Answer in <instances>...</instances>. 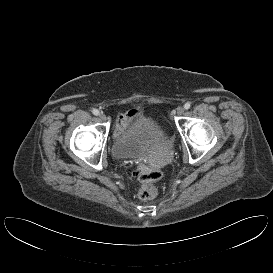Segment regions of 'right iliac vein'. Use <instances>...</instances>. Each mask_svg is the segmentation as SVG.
I'll use <instances>...</instances> for the list:
<instances>
[{
  "mask_svg": "<svg viewBox=\"0 0 273 273\" xmlns=\"http://www.w3.org/2000/svg\"><path fill=\"white\" fill-rule=\"evenodd\" d=\"M99 118H100L102 121H105V120H106V115L103 114V113H101V114L99 115Z\"/></svg>",
  "mask_w": 273,
  "mask_h": 273,
  "instance_id": "right-iliac-vein-1",
  "label": "right iliac vein"
}]
</instances>
